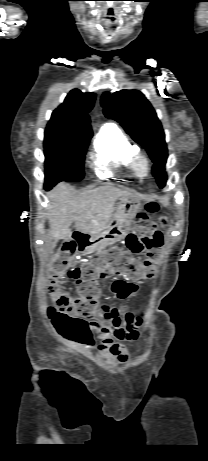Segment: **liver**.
<instances>
[{
    "label": "liver",
    "instance_id": "liver-1",
    "mask_svg": "<svg viewBox=\"0 0 208 461\" xmlns=\"http://www.w3.org/2000/svg\"><path fill=\"white\" fill-rule=\"evenodd\" d=\"M121 197L133 195L110 185L77 193L66 183L58 184L48 194L51 239H71L73 222L80 233L99 234L112 220L115 202Z\"/></svg>",
    "mask_w": 208,
    "mask_h": 461
}]
</instances>
